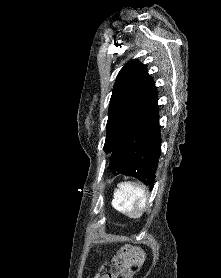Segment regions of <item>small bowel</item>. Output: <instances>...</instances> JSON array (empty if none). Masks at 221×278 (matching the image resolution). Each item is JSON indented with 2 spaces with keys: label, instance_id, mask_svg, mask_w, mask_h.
<instances>
[{
  "label": "small bowel",
  "instance_id": "small-bowel-1",
  "mask_svg": "<svg viewBox=\"0 0 221 278\" xmlns=\"http://www.w3.org/2000/svg\"><path fill=\"white\" fill-rule=\"evenodd\" d=\"M143 254L132 246H124L111 258L113 267L106 272H99L93 278H119L120 272L127 273L130 265L143 259Z\"/></svg>",
  "mask_w": 221,
  "mask_h": 278
}]
</instances>
